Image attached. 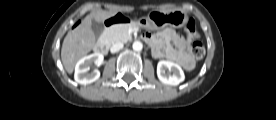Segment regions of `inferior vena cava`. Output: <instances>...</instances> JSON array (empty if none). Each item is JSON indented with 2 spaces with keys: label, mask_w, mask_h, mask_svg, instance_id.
I'll return each mask as SVG.
<instances>
[{
  "label": "inferior vena cava",
  "mask_w": 276,
  "mask_h": 120,
  "mask_svg": "<svg viewBox=\"0 0 276 120\" xmlns=\"http://www.w3.org/2000/svg\"><path fill=\"white\" fill-rule=\"evenodd\" d=\"M122 48H123V43L118 42V43H115V44H113V45L111 46L110 51H111L112 53H116V52H118L119 50H121Z\"/></svg>",
  "instance_id": "1"
}]
</instances>
